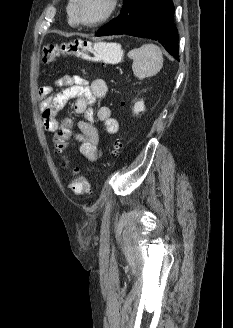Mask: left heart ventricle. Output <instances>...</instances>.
<instances>
[{"instance_id": "obj_1", "label": "left heart ventricle", "mask_w": 233, "mask_h": 328, "mask_svg": "<svg viewBox=\"0 0 233 328\" xmlns=\"http://www.w3.org/2000/svg\"><path fill=\"white\" fill-rule=\"evenodd\" d=\"M108 8V0H80L79 11L81 18L93 22L101 18Z\"/></svg>"}]
</instances>
